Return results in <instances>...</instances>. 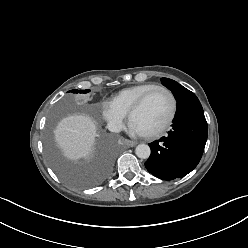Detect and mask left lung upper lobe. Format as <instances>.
<instances>
[{
    "mask_svg": "<svg viewBox=\"0 0 248 248\" xmlns=\"http://www.w3.org/2000/svg\"><path fill=\"white\" fill-rule=\"evenodd\" d=\"M162 84L172 91L177 102L183 100L191 91L169 78H161Z\"/></svg>",
    "mask_w": 248,
    "mask_h": 248,
    "instance_id": "1",
    "label": "left lung upper lobe"
}]
</instances>
